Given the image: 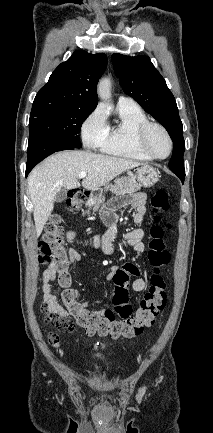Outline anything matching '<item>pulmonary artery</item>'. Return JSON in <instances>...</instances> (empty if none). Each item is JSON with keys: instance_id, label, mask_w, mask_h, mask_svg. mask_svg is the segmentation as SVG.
I'll use <instances>...</instances> for the list:
<instances>
[{"instance_id": "pulmonary-artery-1", "label": "pulmonary artery", "mask_w": 213, "mask_h": 433, "mask_svg": "<svg viewBox=\"0 0 213 433\" xmlns=\"http://www.w3.org/2000/svg\"><path fill=\"white\" fill-rule=\"evenodd\" d=\"M118 103L120 104H135L134 100L128 96H120L118 99Z\"/></svg>"}]
</instances>
